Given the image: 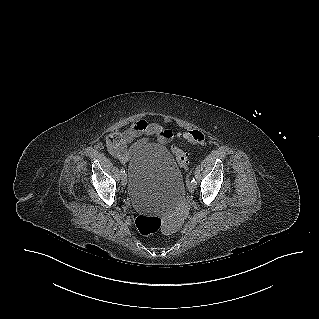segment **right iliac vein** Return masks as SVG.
Wrapping results in <instances>:
<instances>
[{
  "label": "right iliac vein",
  "mask_w": 319,
  "mask_h": 319,
  "mask_svg": "<svg viewBox=\"0 0 319 319\" xmlns=\"http://www.w3.org/2000/svg\"><path fill=\"white\" fill-rule=\"evenodd\" d=\"M121 184L124 187L127 185V176L125 173L121 176Z\"/></svg>",
  "instance_id": "obj_1"
}]
</instances>
